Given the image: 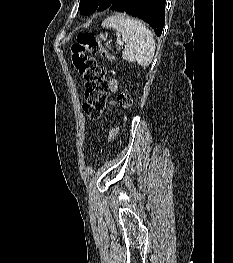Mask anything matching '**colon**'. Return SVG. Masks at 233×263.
Instances as JSON below:
<instances>
[{"instance_id": "colon-1", "label": "colon", "mask_w": 233, "mask_h": 263, "mask_svg": "<svg viewBox=\"0 0 233 263\" xmlns=\"http://www.w3.org/2000/svg\"><path fill=\"white\" fill-rule=\"evenodd\" d=\"M92 55L103 56L110 62L115 61V57L101 44L96 35L87 31L80 32L71 45V59L85 80L83 111L91 120H97L106 108L108 84L106 70L93 60ZM117 101L121 108L127 110L132 105V96L128 90L122 89Z\"/></svg>"}]
</instances>
